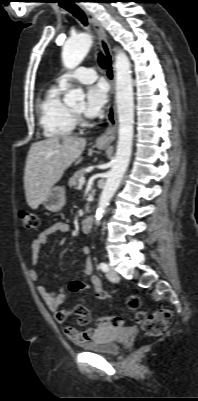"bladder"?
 <instances>
[{"label": "bladder", "instance_id": "bladder-1", "mask_svg": "<svg viewBox=\"0 0 198 401\" xmlns=\"http://www.w3.org/2000/svg\"><path fill=\"white\" fill-rule=\"evenodd\" d=\"M123 330L119 327H105L100 335L92 342L83 345L84 349L100 354L118 355L121 350V344L118 337Z\"/></svg>", "mask_w": 198, "mask_h": 401}]
</instances>
